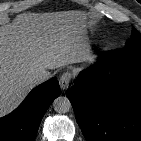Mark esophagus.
Returning a JSON list of instances; mask_svg holds the SVG:
<instances>
[{"instance_id":"obj_1","label":"esophagus","mask_w":141,"mask_h":141,"mask_svg":"<svg viewBox=\"0 0 141 141\" xmlns=\"http://www.w3.org/2000/svg\"><path fill=\"white\" fill-rule=\"evenodd\" d=\"M72 74L70 72H65L61 75L59 79V85L62 90H66L71 82Z\"/></svg>"}]
</instances>
